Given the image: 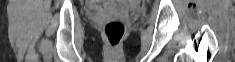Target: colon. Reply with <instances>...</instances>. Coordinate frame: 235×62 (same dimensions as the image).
I'll list each match as a JSON object with an SVG mask.
<instances>
[{
	"mask_svg": "<svg viewBox=\"0 0 235 62\" xmlns=\"http://www.w3.org/2000/svg\"><path fill=\"white\" fill-rule=\"evenodd\" d=\"M125 33V25L122 21L111 20L104 25V35L110 47L116 48Z\"/></svg>",
	"mask_w": 235,
	"mask_h": 62,
	"instance_id": "1",
	"label": "colon"
}]
</instances>
